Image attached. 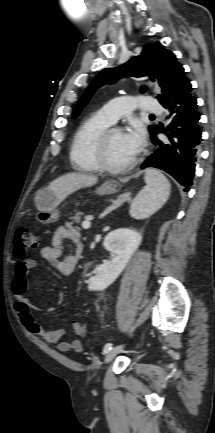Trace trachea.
Wrapping results in <instances>:
<instances>
[{
    "label": "trachea",
    "mask_w": 215,
    "mask_h": 433,
    "mask_svg": "<svg viewBox=\"0 0 215 433\" xmlns=\"http://www.w3.org/2000/svg\"><path fill=\"white\" fill-rule=\"evenodd\" d=\"M150 116H151V117H154V115H152V114H151Z\"/></svg>",
    "instance_id": "obj_1"
}]
</instances>
